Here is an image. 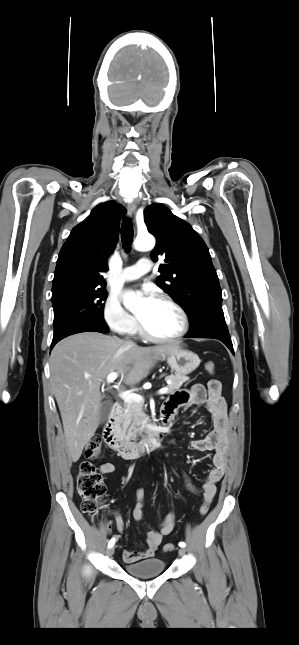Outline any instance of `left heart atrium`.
Here are the masks:
<instances>
[{
    "instance_id": "left-heart-atrium-1",
    "label": "left heart atrium",
    "mask_w": 299,
    "mask_h": 645,
    "mask_svg": "<svg viewBox=\"0 0 299 645\" xmlns=\"http://www.w3.org/2000/svg\"><path fill=\"white\" fill-rule=\"evenodd\" d=\"M156 301L157 299L149 289L143 290L142 304L144 309H150L156 303Z\"/></svg>"
}]
</instances>
